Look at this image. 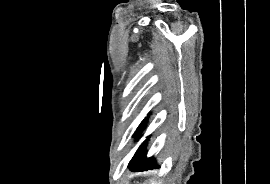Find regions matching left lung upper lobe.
<instances>
[{"label":"left lung upper lobe","mask_w":270,"mask_h":184,"mask_svg":"<svg viewBox=\"0 0 270 184\" xmlns=\"http://www.w3.org/2000/svg\"><path fill=\"white\" fill-rule=\"evenodd\" d=\"M143 127H144V124L140 125V130L137 132L136 137H139Z\"/></svg>","instance_id":"1"}]
</instances>
